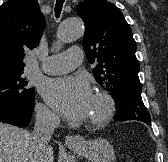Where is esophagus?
Returning <instances> with one entry per match:
<instances>
[{
  "mask_svg": "<svg viewBox=\"0 0 168 162\" xmlns=\"http://www.w3.org/2000/svg\"><path fill=\"white\" fill-rule=\"evenodd\" d=\"M81 142H82V139L75 135L68 134L65 137V143L67 145H77V144H80Z\"/></svg>",
  "mask_w": 168,
  "mask_h": 162,
  "instance_id": "1",
  "label": "esophagus"
}]
</instances>
